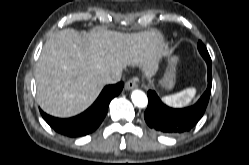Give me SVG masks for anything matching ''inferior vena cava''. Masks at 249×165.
<instances>
[{
	"label": "inferior vena cava",
	"instance_id": "1",
	"mask_svg": "<svg viewBox=\"0 0 249 165\" xmlns=\"http://www.w3.org/2000/svg\"><path fill=\"white\" fill-rule=\"evenodd\" d=\"M121 76V71L110 72L103 75L102 81L104 84H115L121 80Z\"/></svg>",
	"mask_w": 249,
	"mask_h": 165
}]
</instances>
